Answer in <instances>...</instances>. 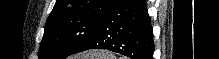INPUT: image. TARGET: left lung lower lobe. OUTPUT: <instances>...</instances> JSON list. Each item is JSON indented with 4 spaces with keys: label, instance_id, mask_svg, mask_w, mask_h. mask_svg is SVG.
Segmentation results:
<instances>
[{
    "label": "left lung lower lobe",
    "instance_id": "1",
    "mask_svg": "<svg viewBox=\"0 0 219 59\" xmlns=\"http://www.w3.org/2000/svg\"><path fill=\"white\" fill-rule=\"evenodd\" d=\"M90 49H105L130 59H153V32L145 0H113L92 38L75 53Z\"/></svg>",
    "mask_w": 219,
    "mask_h": 59
}]
</instances>
